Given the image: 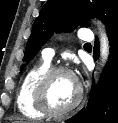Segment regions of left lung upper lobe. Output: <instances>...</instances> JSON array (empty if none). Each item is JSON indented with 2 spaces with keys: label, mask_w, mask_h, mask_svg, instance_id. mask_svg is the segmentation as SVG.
<instances>
[{
  "label": "left lung upper lobe",
  "mask_w": 118,
  "mask_h": 123,
  "mask_svg": "<svg viewBox=\"0 0 118 123\" xmlns=\"http://www.w3.org/2000/svg\"><path fill=\"white\" fill-rule=\"evenodd\" d=\"M117 14V0H48L34 21L23 61H31L55 32L89 27L91 17L106 25Z\"/></svg>",
  "instance_id": "1"
}]
</instances>
